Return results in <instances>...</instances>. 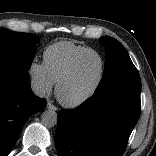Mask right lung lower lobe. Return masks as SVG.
<instances>
[{
	"instance_id": "1",
	"label": "right lung lower lobe",
	"mask_w": 156,
	"mask_h": 156,
	"mask_svg": "<svg viewBox=\"0 0 156 156\" xmlns=\"http://www.w3.org/2000/svg\"><path fill=\"white\" fill-rule=\"evenodd\" d=\"M46 101L33 94L28 73L0 68V156H7L28 118Z\"/></svg>"
}]
</instances>
